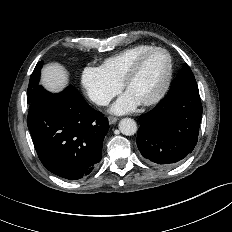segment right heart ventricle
<instances>
[{"instance_id":"obj_1","label":"right heart ventricle","mask_w":232,"mask_h":232,"mask_svg":"<svg viewBox=\"0 0 232 232\" xmlns=\"http://www.w3.org/2000/svg\"><path fill=\"white\" fill-rule=\"evenodd\" d=\"M151 47L153 46L148 45V44H139V45H135L130 48H127L105 59L101 65V68L114 81L121 84L127 70L129 69L134 59L140 53H142L143 51Z\"/></svg>"}]
</instances>
